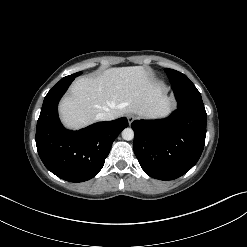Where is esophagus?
Segmentation results:
<instances>
[{"label": "esophagus", "mask_w": 247, "mask_h": 247, "mask_svg": "<svg viewBox=\"0 0 247 247\" xmlns=\"http://www.w3.org/2000/svg\"><path fill=\"white\" fill-rule=\"evenodd\" d=\"M136 119V116L133 115V114H128L127 115V120H128V123L129 125H131V123Z\"/></svg>", "instance_id": "esophagus-1"}]
</instances>
